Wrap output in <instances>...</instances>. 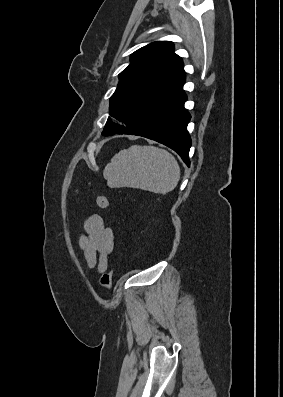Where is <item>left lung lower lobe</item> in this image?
Wrapping results in <instances>:
<instances>
[{
	"mask_svg": "<svg viewBox=\"0 0 283 397\" xmlns=\"http://www.w3.org/2000/svg\"><path fill=\"white\" fill-rule=\"evenodd\" d=\"M186 100L187 96L181 89L145 111L118 134L143 136L162 143L177 152L190 166L192 142L187 125L191 115L184 108Z\"/></svg>",
	"mask_w": 283,
	"mask_h": 397,
	"instance_id": "left-lung-lower-lobe-1",
	"label": "left lung lower lobe"
}]
</instances>
